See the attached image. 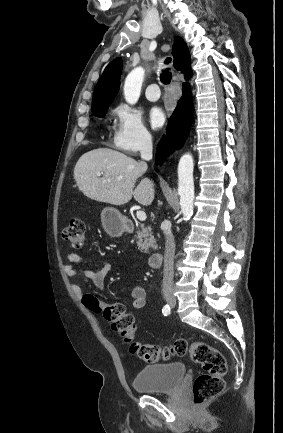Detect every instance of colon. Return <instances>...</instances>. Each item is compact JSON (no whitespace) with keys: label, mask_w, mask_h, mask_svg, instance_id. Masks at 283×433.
<instances>
[{"label":"colon","mask_w":283,"mask_h":433,"mask_svg":"<svg viewBox=\"0 0 283 433\" xmlns=\"http://www.w3.org/2000/svg\"><path fill=\"white\" fill-rule=\"evenodd\" d=\"M85 232L84 219L74 216L63 230V239L73 249H81L86 240ZM83 304L94 312L102 313L112 329L129 345L131 354L143 361L153 363L171 356L189 355L204 371L193 384V400L196 405L205 404L224 390L227 362L218 349L203 341L189 342L185 339L176 340L171 346L142 343L135 339L133 315L127 313L121 303L104 305L94 295L89 294L83 297Z\"/></svg>","instance_id":"colon-1"}]
</instances>
